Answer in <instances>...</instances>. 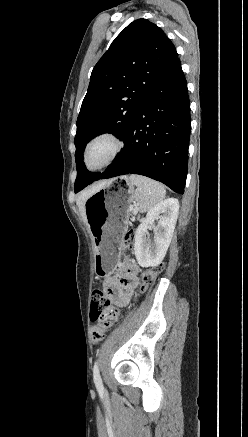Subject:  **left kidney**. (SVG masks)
I'll use <instances>...</instances> for the list:
<instances>
[{
    "label": "left kidney",
    "instance_id": "obj_1",
    "mask_svg": "<svg viewBox=\"0 0 248 437\" xmlns=\"http://www.w3.org/2000/svg\"><path fill=\"white\" fill-rule=\"evenodd\" d=\"M179 202L169 198L154 206L135 233L134 253L141 267L159 265L164 259L178 218ZM159 219L154 226L155 241L151 243L146 238L147 230Z\"/></svg>",
    "mask_w": 248,
    "mask_h": 437
}]
</instances>
